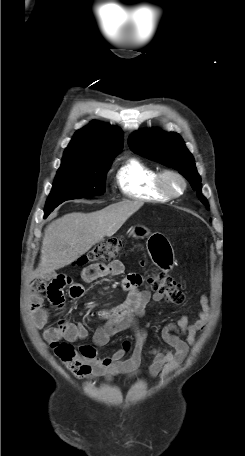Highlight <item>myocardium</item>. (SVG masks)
Returning a JSON list of instances; mask_svg holds the SVG:
<instances>
[{
    "instance_id": "myocardium-1",
    "label": "myocardium",
    "mask_w": 245,
    "mask_h": 456,
    "mask_svg": "<svg viewBox=\"0 0 245 456\" xmlns=\"http://www.w3.org/2000/svg\"><path fill=\"white\" fill-rule=\"evenodd\" d=\"M169 177H174L180 181L181 189L179 192H174L169 187L168 182H167V179ZM156 187L165 196H167L170 199H173V198H178L184 194L186 187H187V182H186L185 177L178 171L166 169V170H162L158 173V175L156 177Z\"/></svg>"
}]
</instances>
